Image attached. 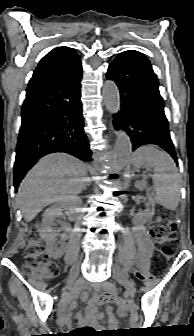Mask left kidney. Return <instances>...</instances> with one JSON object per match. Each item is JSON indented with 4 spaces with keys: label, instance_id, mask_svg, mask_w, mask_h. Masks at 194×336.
Returning <instances> with one entry per match:
<instances>
[{
    "label": "left kidney",
    "instance_id": "1",
    "mask_svg": "<svg viewBox=\"0 0 194 336\" xmlns=\"http://www.w3.org/2000/svg\"><path fill=\"white\" fill-rule=\"evenodd\" d=\"M135 187L139 190H143L147 187V182L145 180H139L135 182ZM154 206V201L150 200L147 203V208L143 212H139L134 217V222L139 224H145L149 219H151L154 215V209L152 208Z\"/></svg>",
    "mask_w": 194,
    "mask_h": 336
}]
</instances>
